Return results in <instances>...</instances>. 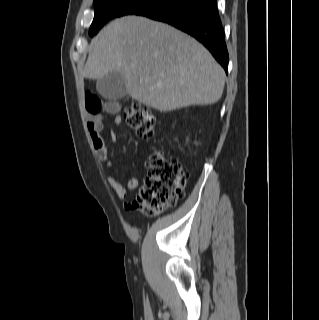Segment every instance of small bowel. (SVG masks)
Wrapping results in <instances>:
<instances>
[{
	"label": "small bowel",
	"instance_id": "small-bowel-1",
	"mask_svg": "<svg viewBox=\"0 0 319 320\" xmlns=\"http://www.w3.org/2000/svg\"><path fill=\"white\" fill-rule=\"evenodd\" d=\"M102 103L100 99L91 93L87 92L85 95V109L88 116L87 128L89 131L90 139L93 147L95 148L98 157L104 161L109 169H114V165L109 158L108 146L102 136L104 124L101 113ZM105 110L108 113L113 114V122L116 125L121 124L122 119L119 115V110L116 104L108 103L105 106ZM110 138L112 141H116L117 134L115 131L110 132ZM110 187L115 191L119 198L125 197L128 190H134L138 187L139 181L137 178H130L126 185L112 176L107 178Z\"/></svg>",
	"mask_w": 319,
	"mask_h": 320
}]
</instances>
